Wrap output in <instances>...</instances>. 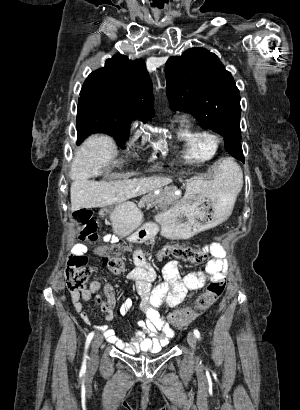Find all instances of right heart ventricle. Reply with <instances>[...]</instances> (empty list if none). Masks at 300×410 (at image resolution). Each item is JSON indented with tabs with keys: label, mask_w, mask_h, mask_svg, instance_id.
Here are the masks:
<instances>
[{
	"label": "right heart ventricle",
	"mask_w": 300,
	"mask_h": 410,
	"mask_svg": "<svg viewBox=\"0 0 300 410\" xmlns=\"http://www.w3.org/2000/svg\"><path fill=\"white\" fill-rule=\"evenodd\" d=\"M176 136L182 145V157L187 161H206L216 152V146L211 141V133L195 127L187 120L180 123Z\"/></svg>",
	"instance_id": "right-heart-ventricle-1"
}]
</instances>
